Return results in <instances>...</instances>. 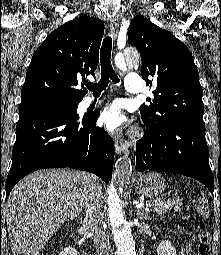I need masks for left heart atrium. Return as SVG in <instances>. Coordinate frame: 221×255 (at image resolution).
<instances>
[{"label": "left heart atrium", "instance_id": "39dd6f15", "mask_svg": "<svg viewBox=\"0 0 221 255\" xmlns=\"http://www.w3.org/2000/svg\"><path fill=\"white\" fill-rule=\"evenodd\" d=\"M101 121L107 129L113 131L118 129L126 121L120 102L115 101L108 106L101 115Z\"/></svg>", "mask_w": 221, "mask_h": 255}]
</instances>
